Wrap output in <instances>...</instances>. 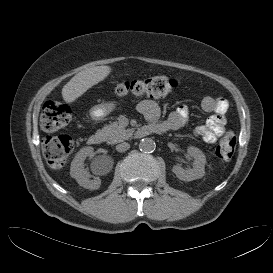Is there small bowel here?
Masks as SVG:
<instances>
[{
	"mask_svg": "<svg viewBox=\"0 0 273 273\" xmlns=\"http://www.w3.org/2000/svg\"><path fill=\"white\" fill-rule=\"evenodd\" d=\"M202 109L206 112H213L205 124L195 128V135L208 144H214L226 132V112L228 101L223 97H204L201 102ZM138 111L149 123L158 122L161 112L158 103L151 99H144L139 102ZM188 119V108L185 105L179 106L163 122L169 130L182 128Z\"/></svg>",
	"mask_w": 273,
	"mask_h": 273,
	"instance_id": "1",
	"label": "small bowel"
}]
</instances>
